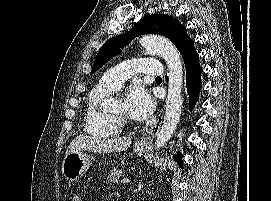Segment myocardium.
<instances>
[{"instance_id":"1","label":"myocardium","mask_w":271,"mask_h":201,"mask_svg":"<svg viewBox=\"0 0 271 201\" xmlns=\"http://www.w3.org/2000/svg\"><path fill=\"white\" fill-rule=\"evenodd\" d=\"M113 117L122 125V126H132L133 122L130 120V118L126 115L118 114L115 112L111 113Z\"/></svg>"}]
</instances>
